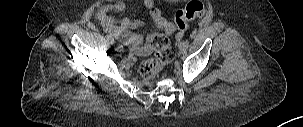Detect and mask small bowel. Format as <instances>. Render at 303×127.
I'll use <instances>...</instances> for the list:
<instances>
[{"label": "small bowel", "instance_id": "1", "mask_svg": "<svg viewBox=\"0 0 303 127\" xmlns=\"http://www.w3.org/2000/svg\"><path fill=\"white\" fill-rule=\"evenodd\" d=\"M143 6L156 28L155 32L146 37L133 33L135 29L144 25L142 21L130 17L116 19L112 16V13H120L125 10L123 2L118 1L99 7L95 13V18L110 36L121 41L131 52L137 55H146L151 51V40L158 35L168 37L174 35L175 26L162 16L154 0H144Z\"/></svg>", "mask_w": 303, "mask_h": 127}]
</instances>
